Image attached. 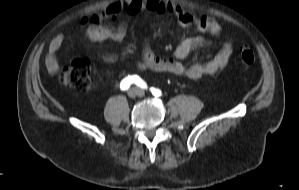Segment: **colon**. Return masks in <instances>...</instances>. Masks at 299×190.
Wrapping results in <instances>:
<instances>
[{
	"instance_id": "obj_1",
	"label": "colon",
	"mask_w": 299,
	"mask_h": 190,
	"mask_svg": "<svg viewBox=\"0 0 299 190\" xmlns=\"http://www.w3.org/2000/svg\"><path fill=\"white\" fill-rule=\"evenodd\" d=\"M240 60L245 66H251L255 60L253 50L248 46L242 47ZM60 77L64 84L80 92L88 91L92 86L90 64L85 58L74 59L63 69Z\"/></svg>"
}]
</instances>
